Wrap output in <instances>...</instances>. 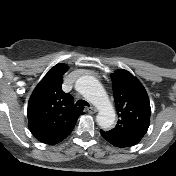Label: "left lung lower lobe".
<instances>
[{
	"instance_id": "obj_1",
	"label": "left lung lower lobe",
	"mask_w": 176,
	"mask_h": 176,
	"mask_svg": "<svg viewBox=\"0 0 176 176\" xmlns=\"http://www.w3.org/2000/svg\"><path fill=\"white\" fill-rule=\"evenodd\" d=\"M101 135L103 136L104 139H106L109 143H111L114 146L117 147H129L126 143L122 142L119 139H116L108 134H106L104 131H101Z\"/></svg>"
}]
</instances>
